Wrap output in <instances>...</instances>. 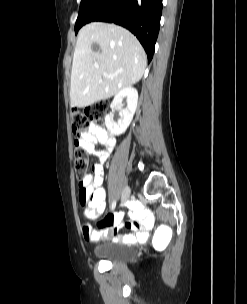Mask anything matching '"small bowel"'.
<instances>
[{
    "instance_id": "obj_1",
    "label": "small bowel",
    "mask_w": 247,
    "mask_h": 304,
    "mask_svg": "<svg viewBox=\"0 0 247 304\" xmlns=\"http://www.w3.org/2000/svg\"><path fill=\"white\" fill-rule=\"evenodd\" d=\"M80 146L98 159L92 166V172L86 175L82 182L84 200L79 196L80 204L85 216L90 220L98 219L106 208V191L102 187L104 165L113 152L116 141L108 131L98 125H91L79 138ZM103 146L96 149V145ZM132 219L123 222L121 217L114 215L107 217L97 229L83 226V237L88 242H98L112 238L118 243H142L148 238V231L153 226V218L141 205L136 204L132 209ZM126 227L132 231L122 235L120 230Z\"/></svg>"
}]
</instances>
